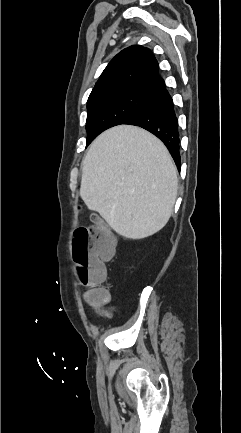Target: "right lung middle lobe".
I'll return each mask as SVG.
<instances>
[{
	"instance_id": "1",
	"label": "right lung middle lobe",
	"mask_w": 241,
	"mask_h": 433,
	"mask_svg": "<svg viewBox=\"0 0 241 433\" xmlns=\"http://www.w3.org/2000/svg\"><path fill=\"white\" fill-rule=\"evenodd\" d=\"M151 95L124 93L87 102L86 146L104 130L123 124L148 102Z\"/></svg>"
}]
</instances>
